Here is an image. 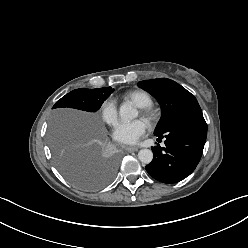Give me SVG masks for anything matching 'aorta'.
<instances>
[{"label":"aorta","instance_id":"1","mask_svg":"<svg viewBox=\"0 0 248 248\" xmlns=\"http://www.w3.org/2000/svg\"><path fill=\"white\" fill-rule=\"evenodd\" d=\"M119 115L124 121H129L135 119L138 112L129 103H123L119 108ZM138 159L144 164H149L153 159V152L150 149H141Z\"/></svg>","mask_w":248,"mask_h":248}]
</instances>
